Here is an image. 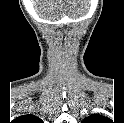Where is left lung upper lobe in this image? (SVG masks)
I'll return each mask as SVG.
<instances>
[{
  "instance_id": "left-lung-upper-lobe-1",
  "label": "left lung upper lobe",
  "mask_w": 124,
  "mask_h": 123,
  "mask_svg": "<svg viewBox=\"0 0 124 123\" xmlns=\"http://www.w3.org/2000/svg\"><path fill=\"white\" fill-rule=\"evenodd\" d=\"M102 118L103 116L101 115L93 114V115H90L89 117L84 118L82 122L83 123H97V121Z\"/></svg>"
}]
</instances>
